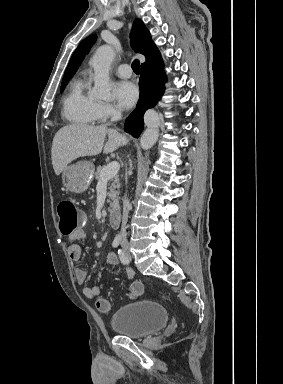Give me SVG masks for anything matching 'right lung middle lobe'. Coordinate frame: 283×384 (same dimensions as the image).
<instances>
[{"label": "right lung middle lobe", "instance_id": "obj_1", "mask_svg": "<svg viewBox=\"0 0 283 384\" xmlns=\"http://www.w3.org/2000/svg\"><path fill=\"white\" fill-rule=\"evenodd\" d=\"M67 83H68V82H65V83H62V84H61L60 92H63V90L65 89Z\"/></svg>", "mask_w": 283, "mask_h": 384}]
</instances>
